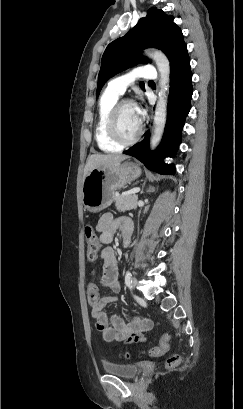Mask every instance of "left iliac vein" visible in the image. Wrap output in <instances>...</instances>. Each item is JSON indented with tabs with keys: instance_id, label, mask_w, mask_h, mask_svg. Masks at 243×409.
<instances>
[{
	"instance_id": "obj_1",
	"label": "left iliac vein",
	"mask_w": 243,
	"mask_h": 409,
	"mask_svg": "<svg viewBox=\"0 0 243 409\" xmlns=\"http://www.w3.org/2000/svg\"><path fill=\"white\" fill-rule=\"evenodd\" d=\"M136 284H137V279L134 278V279L132 280V285H131V287L134 288V287L136 286Z\"/></svg>"
}]
</instances>
